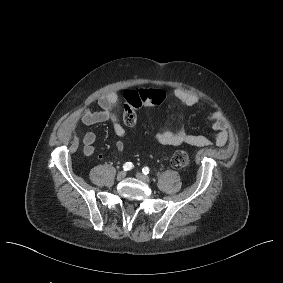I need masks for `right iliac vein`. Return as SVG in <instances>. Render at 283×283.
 <instances>
[{"instance_id":"1","label":"right iliac vein","mask_w":283,"mask_h":283,"mask_svg":"<svg viewBox=\"0 0 283 283\" xmlns=\"http://www.w3.org/2000/svg\"><path fill=\"white\" fill-rule=\"evenodd\" d=\"M126 176V172L125 171H121L118 173L117 175V180H123Z\"/></svg>"}]
</instances>
